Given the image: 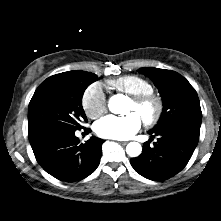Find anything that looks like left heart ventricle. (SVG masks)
<instances>
[{"mask_svg": "<svg viewBox=\"0 0 221 221\" xmlns=\"http://www.w3.org/2000/svg\"><path fill=\"white\" fill-rule=\"evenodd\" d=\"M128 112H136L139 116H141V113L134 107L132 102L129 103Z\"/></svg>", "mask_w": 221, "mask_h": 221, "instance_id": "left-heart-ventricle-1", "label": "left heart ventricle"}]
</instances>
